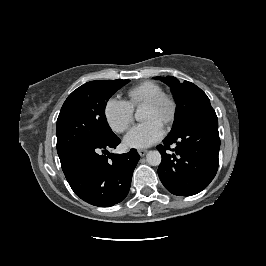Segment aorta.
I'll return each instance as SVG.
<instances>
[{"label": "aorta", "instance_id": "762f6f07", "mask_svg": "<svg viewBox=\"0 0 266 266\" xmlns=\"http://www.w3.org/2000/svg\"><path fill=\"white\" fill-rule=\"evenodd\" d=\"M142 118L143 116L141 110L137 109L135 113V119L137 121H140L142 120ZM146 161L149 165L158 166L161 163V154L159 153V151L156 150L149 151L146 155Z\"/></svg>", "mask_w": 266, "mask_h": 266}]
</instances>
